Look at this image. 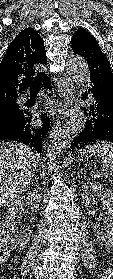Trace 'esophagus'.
<instances>
[{
	"instance_id": "1",
	"label": "esophagus",
	"mask_w": 113,
	"mask_h": 279,
	"mask_svg": "<svg viewBox=\"0 0 113 279\" xmlns=\"http://www.w3.org/2000/svg\"><path fill=\"white\" fill-rule=\"evenodd\" d=\"M60 86L62 87L63 106L59 112H61L64 117H69L74 114L77 109L76 90L70 78H64Z\"/></svg>"
}]
</instances>
